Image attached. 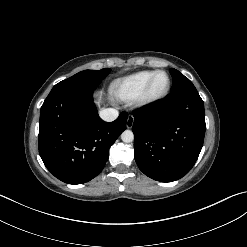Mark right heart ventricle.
I'll use <instances>...</instances> for the list:
<instances>
[{"label":"right heart ventricle","instance_id":"1","mask_svg":"<svg viewBox=\"0 0 247 247\" xmlns=\"http://www.w3.org/2000/svg\"><path fill=\"white\" fill-rule=\"evenodd\" d=\"M155 72L154 70H145L119 78L111 84V92L122 101H134L140 97Z\"/></svg>","mask_w":247,"mask_h":247}]
</instances>
